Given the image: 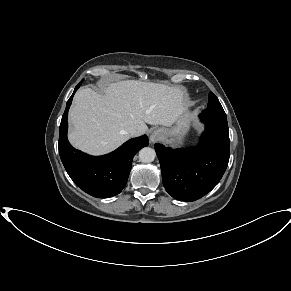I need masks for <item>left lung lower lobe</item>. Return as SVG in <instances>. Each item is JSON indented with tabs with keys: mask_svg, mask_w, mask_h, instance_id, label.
<instances>
[{
	"mask_svg": "<svg viewBox=\"0 0 291 291\" xmlns=\"http://www.w3.org/2000/svg\"><path fill=\"white\" fill-rule=\"evenodd\" d=\"M199 118L205 123L199 146L171 149L154 145L163 185L173 198L182 201H195L210 192L229 162L230 140L224 110L205 109Z\"/></svg>",
	"mask_w": 291,
	"mask_h": 291,
	"instance_id": "0a47b994",
	"label": "left lung lower lobe"
}]
</instances>
